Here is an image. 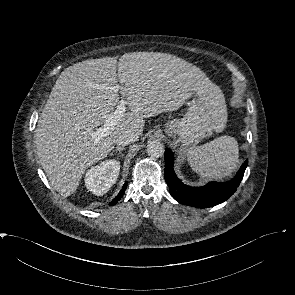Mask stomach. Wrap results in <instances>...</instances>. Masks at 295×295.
I'll list each match as a JSON object with an SVG mask.
<instances>
[{
  "label": "stomach",
  "instance_id": "0dacf381",
  "mask_svg": "<svg viewBox=\"0 0 295 295\" xmlns=\"http://www.w3.org/2000/svg\"><path fill=\"white\" fill-rule=\"evenodd\" d=\"M194 98L183 118L169 121L165 132L175 144L189 148L210 136L221 132L227 121L224 94L211 82L193 91Z\"/></svg>",
  "mask_w": 295,
  "mask_h": 295
}]
</instances>
